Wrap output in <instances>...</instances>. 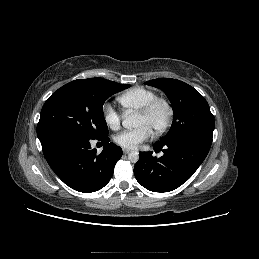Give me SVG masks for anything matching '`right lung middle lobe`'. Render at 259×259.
Returning a JSON list of instances; mask_svg holds the SVG:
<instances>
[{
  "mask_svg": "<svg viewBox=\"0 0 259 259\" xmlns=\"http://www.w3.org/2000/svg\"><path fill=\"white\" fill-rule=\"evenodd\" d=\"M130 87L106 79H78L59 88L45 102L37 125L40 140L56 133L97 139L108 136L103 104Z\"/></svg>",
  "mask_w": 259,
  "mask_h": 259,
  "instance_id": "1",
  "label": "right lung middle lobe"
}]
</instances>
